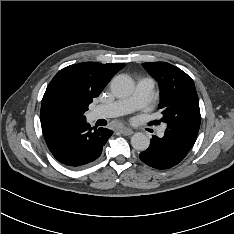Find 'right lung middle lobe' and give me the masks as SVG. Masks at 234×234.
Listing matches in <instances>:
<instances>
[{
    "instance_id": "right-lung-middle-lobe-1",
    "label": "right lung middle lobe",
    "mask_w": 234,
    "mask_h": 234,
    "mask_svg": "<svg viewBox=\"0 0 234 234\" xmlns=\"http://www.w3.org/2000/svg\"><path fill=\"white\" fill-rule=\"evenodd\" d=\"M87 109H81L62 98H50L42 102L41 126L60 121H74L85 118Z\"/></svg>"
}]
</instances>
